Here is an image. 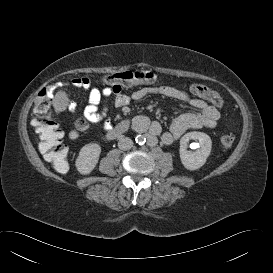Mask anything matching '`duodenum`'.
<instances>
[{
    "instance_id": "1",
    "label": "duodenum",
    "mask_w": 273,
    "mask_h": 273,
    "mask_svg": "<svg viewBox=\"0 0 273 273\" xmlns=\"http://www.w3.org/2000/svg\"><path fill=\"white\" fill-rule=\"evenodd\" d=\"M128 130V122L123 121L107 132V138L114 139L123 135Z\"/></svg>"
}]
</instances>
